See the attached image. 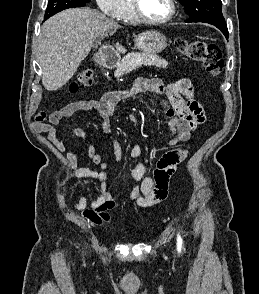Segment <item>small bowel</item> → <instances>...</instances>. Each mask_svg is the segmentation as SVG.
Instances as JSON below:
<instances>
[{"label": "small bowel", "mask_w": 259, "mask_h": 294, "mask_svg": "<svg viewBox=\"0 0 259 294\" xmlns=\"http://www.w3.org/2000/svg\"><path fill=\"white\" fill-rule=\"evenodd\" d=\"M151 92L155 104L159 107L169 127L173 132L171 146H179L177 150L168 151L159 158L154 170L153 178L147 175L148 168L141 160V149L135 145L130 150V156L137 161L131 170V176L139 181L129 197L140 207H151L163 201L168 193L171 176L177 166L184 161L188 154L186 142L191 132L200 125L208 123V115L201 102L197 99L194 88L188 79L164 85L158 78H140L125 90H113L104 94L100 99L74 101L47 115L39 113L33 123L38 133H45L49 141L58 149H65V138L60 136L57 126L60 122L81 111L94 110L98 113L99 121L104 133H111L110 118L115 114L119 102L139 92ZM72 136L85 142L84 146L91 162L99 166V170L79 168L76 156L79 149L69 153V166L77 178L95 180L99 183L96 199L89 201L81 197L75 204L82 216L95 225H102L111 221L110 210L118 207V200L107 190V170L109 164L102 161V155L93 143L87 141L86 133L81 128H75Z\"/></svg>", "instance_id": "c3829d8e"}]
</instances>
